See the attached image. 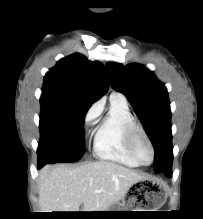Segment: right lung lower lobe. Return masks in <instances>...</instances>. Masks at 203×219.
<instances>
[{
	"label": "right lung lower lobe",
	"instance_id": "obj_1",
	"mask_svg": "<svg viewBox=\"0 0 203 219\" xmlns=\"http://www.w3.org/2000/svg\"><path fill=\"white\" fill-rule=\"evenodd\" d=\"M43 165H41L40 163H38V168H41Z\"/></svg>",
	"mask_w": 203,
	"mask_h": 219
}]
</instances>
